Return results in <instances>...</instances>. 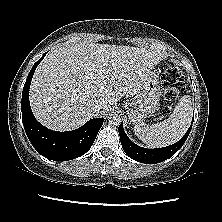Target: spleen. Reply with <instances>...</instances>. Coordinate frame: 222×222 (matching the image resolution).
I'll list each match as a JSON object with an SVG mask.
<instances>
[{
	"instance_id": "spleen-1",
	"label": "spleen",
	"mask_w": 222,
	"mask_h": 222,
	"mask_svg": "<svg viewBox=\"0 0 222 222\" xmlns=\"http://www.w3.org/2000/svg\"><path fill=\"white\" fill-rule=\"evenodd\" d=\"M192 100L182 97L170 117L160 123L134 127L136 136L147 146L160 148L177 142L187 131L192 118Z\"/></svg>"
}]
</instances>
